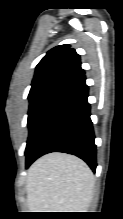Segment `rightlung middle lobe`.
I'll return each mask as SVG.
<instances>
[{
    "label": "right lung middle lobe",
    "instance_id": "dd1d6c3e",
    "mask_svg": "<svg viewBox=\"0 0 123 219\" xmlns=\"http://www.w3.org/2000/svg\"><path fill=\"white\" fill-rule=\"evenodd\" d=\"M69 84L70 82L65 80L52 81L30 90L28 96L30 105L28 112L29 136L25 150L26 162L32 155V146L39 135L47 113Z\"/></svg>",
    "mask_w": 123,
    "mask_h": 219
}]
</instances>
